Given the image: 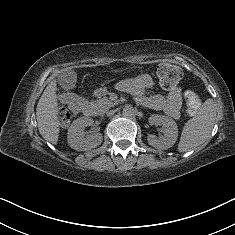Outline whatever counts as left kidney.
<instances>
[{
	"label": "left kidney",
	"instance_id": "left-kidney-1",
	"mask_svg": "<svg viewBox=\"0 0 235 235\" xmlns=\"http://www.w3.org/2000/svg\"><path fill=\"white\" fill-rule=\"evenodd\" d=\"M148 125L162 126L163 135L156 136L151 133L147 136L149 145L154 148L167 150L171 148L178 137V127L176 122L165 115L152 114L148 117Z\"/></svg>",
	"mask_w": 235,
	"mask_h": 235
}]
</instances>
